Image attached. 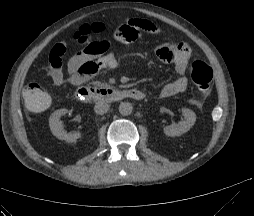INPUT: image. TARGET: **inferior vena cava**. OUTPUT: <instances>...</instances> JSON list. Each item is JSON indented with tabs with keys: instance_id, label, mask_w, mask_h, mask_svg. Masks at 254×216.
Here are the masks:
<instances>
[{
	"instance_id": "1",
	"label": "inferior vena cava",
	"mask_w": 254,
	"mask_h": 216,
	"mask_svg": "<svg viewBox=\"0 0 254 216\" xmlns=\"http://www.w3.org/2000/svg\"><path fill=\"white\" fill-rule=\"evenodd\" d=\"M109 110V105L105 102H97L94 107L96 114L103 115Z\"/></svg>"
}]
</instances>
